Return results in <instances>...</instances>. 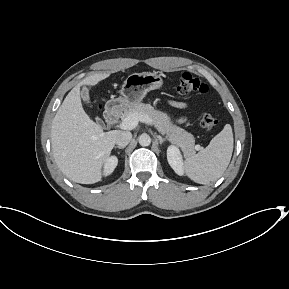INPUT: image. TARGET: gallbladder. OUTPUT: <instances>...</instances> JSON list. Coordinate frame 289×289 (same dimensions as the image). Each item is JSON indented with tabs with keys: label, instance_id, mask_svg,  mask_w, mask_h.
Here are the masks:
<instances>
[{
	"label": "gallbladder",
	"instance_id": "bac80fb5",
	"mask_svg": "<svg viewBox=\"0 0 289 289\" xmlns=\"http://www.w3.org/2000/svg\"><path fill=\"white\" fill-rule=\"evenodd\" d=\"M81 96H82L84 101L89 103V93H88V89L86 87L82 88ZM96 120H97L98 123H102V121L100 119L97 118Z\"/></svg>",
	"mask_w": 289,
	"mask_h": 289
}]
</instances>
